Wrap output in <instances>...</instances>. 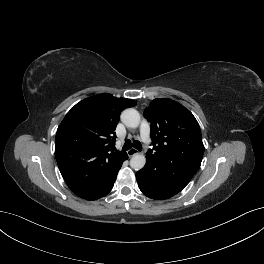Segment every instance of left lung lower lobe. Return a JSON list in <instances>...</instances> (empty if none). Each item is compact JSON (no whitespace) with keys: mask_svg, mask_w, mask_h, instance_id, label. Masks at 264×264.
<instances>
[{"mask_svg":"<svg viewBox=\"0 0 264 264\" xmlns=\"http://www.w3.org/2000/svg\"><path fill=\"white\" fill-rule=\"evenodd\" d=\"M140 190L152 199H167L180 192L191 179L181 172L164 171L158 162L146 158V165L136 173Z\"/></svg>","mask_w":264,"mask_h":264,"instance_id":"obj_1","label":"left lung lower lobe"}]
</instances>
